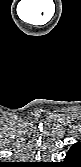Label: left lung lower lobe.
I'll use <instances>...</instances> for the list:
<instances>
[{
	"instance_id": "obj_1",
	"label": "left lung lower lobe",
	"mask_w": 81,
	"mask_h": 167,
	"mask_svg": "<svg viewBox=\"0 0 81 167\" xmlns=\"http://www.w3.org/2000/svg\"><path fill=\"white\" fill-rule=\"evenodd\" d=\"M81 158V144L75 143L68 151L66 157H65V164L67 163H79V160Z\"/></svg>"
}]
</instances>
